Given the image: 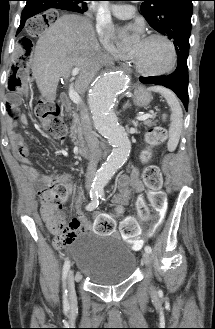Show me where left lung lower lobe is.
<instances>
[{
  "label": "left lung lower lobe",
  "mask_w": 215,
  "mask_h": 329,
  "mask_svg": "<svg viewBox=\"0 0 215 329\" xmlns=\"http://www.w3.org/2000/svg\"><path fill=\"white\" fill-rule=\"evenodd\" d=\"M188 54L178 55V64L176 70L165 76L140 77L139 80L144 84L162 85L171 89L183 102L185 109L188 108Z\"/></svg>",
  "instance_id": "0a47b994"
}]
</instances>
